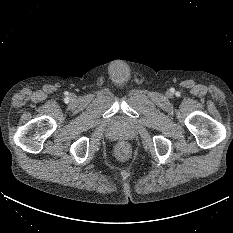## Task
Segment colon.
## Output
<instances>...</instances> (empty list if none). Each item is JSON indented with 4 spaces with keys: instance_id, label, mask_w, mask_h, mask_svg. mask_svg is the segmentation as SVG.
Returning <instances> with one entry per match:
<instances>
[{
    "instance_id": "obj_1",
    "label": "colon",
    "mask_w": 233,
    "mask_h": 233,
    "mask_svg": "<svg viewBox=\"0 0 233 233\" xmlns=\"http://www.w3.org/2000/svg\"><path fill=\"white\" fill-rule=\"evenodd\" d=\"M131 149L130 146L126 142H120L115 149L116 157L121 160L125 161L130 157Z\"/></svg>"
}]
</instances>
